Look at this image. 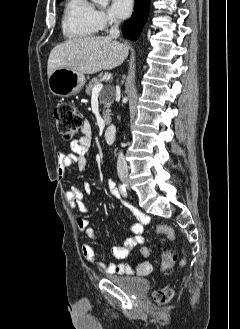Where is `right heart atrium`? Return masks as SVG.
I'll return each mask as SVG.
<instances>
[{
    "mask_svg": "<svg viewBox=\"0 0 240 329\" xmlns=\"http://www.w3.org/2000/svg\"><path fill=\"white\" fill-rule=\"evenodd\" d=\"M95 19L98 30H104L108 26L116 23L114 16L108 10L102 8L95 11Z\"/></svg>",
    "mask_w": 240,
    "mask_h": 329,
    "instance_id": "right-heart-atrium-1",
    "label": "right heart atrium"
}]
</instances>
